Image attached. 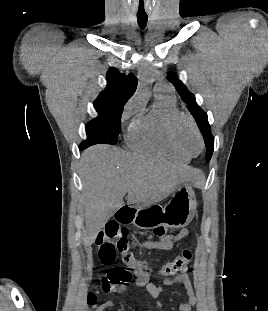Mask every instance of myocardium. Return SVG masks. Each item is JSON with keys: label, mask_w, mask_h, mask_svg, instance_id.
Instances as JSON below:
<instances>
[{"label": "myocardium", "mask_w": 268, "mask_h": 311, "mask_svg": "<svg viewBox=\"0 0 268 311\" xmlns=\"http://www.w3.org/2000/svg\"><path fill=\"white\" fill-rule=\"evenodd\" d=\"M181 120L187 121L198 137L200 147H199V151L196 154L189 153L179 142L177 129H178V124ZM167 134H168V138L172 146L178 152H180L181 154L185 155L188 158L197 156L203 150L204 140H203L202 134L196 122L194 121V119L190 115L184 112L176 111L170 115L167 121Z\"/></svg>", "instance_id": "1"}]
</instances>
